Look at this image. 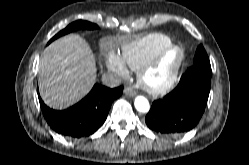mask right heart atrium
Listing matches in <instances>:
<instances>
[{
	"instance_id": "obj_1",
	"label": "right heart atrium",
	"mask_w": 249,
	"mask_h": 165,
	"mask_svg": "<svg viewBox=\"0 0 249 165\" xmlns=\"http://www.w3.org/2000/svg\"><path fill=\"white\" fill-rule=\"evenodd\" d=\"M107 67L113 72H115L116 74L123 76V77L129 74V69L126 63L123 61V59L119 55L113 52H110L108 54Z\"/></svg>"
}]
</instances>
